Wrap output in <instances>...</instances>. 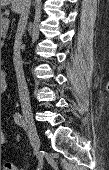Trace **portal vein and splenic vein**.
Wrapping results in <instances>:
<instances>
[{"label":"portal vein and splenic vein","mask_w":109,"mask_h":170,"mask_svg":"<svg viewBox=\"0 0 109 170\" xmlns=\"http://www.w3.org/2000/svg\"><path fill=\"white\" fill-rule=\"evenodd\" d=\"M9 19L8 18H2L1 19V28L5 29L9 25Z\"/></svg>","instance_id":"obj_1"}]
</instances>
